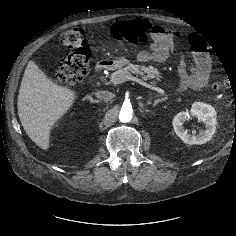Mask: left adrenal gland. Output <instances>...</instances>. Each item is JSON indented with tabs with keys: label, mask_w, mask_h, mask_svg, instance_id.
Wrapping results in <instances>:
<instances>
[{
	"label": "left adrenal gland",
	"mask_w": 236,
	"mask_h": 236,
	"mask_svg": "<svg viewBox=\"0 0 236 236\" xmlns=\"http://www.w3.org/2000/svg\"><path fill=\"white\" fill-rule=\"evenodd\" d=\"M165 100H167V97L157 99V100L154 101L153 106L155 107L158 103L163 102ZM148 103L151 104V102H148Z\"/></svg>",
	"instance_id": "a2214340"
}]
</instances>
